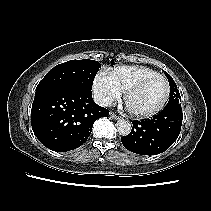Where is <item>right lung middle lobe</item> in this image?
Masks as SVG:
<instances>
[{"label":"right lung middle lobe","mask_w":211,"mask_h":211,"mask_svg":"<svg viewBox=\"0 0 211 211\" xmlns=\"http://www.w3.org/2000/svg\"><path fill=\"white\" fill-rule=\"evenodd\" d=\"M101 67L95 60H70L52 68L40 81L36 92L53 87H77L92 90L93 80Z\"/></svg>","instance_id":"right-lung-middle-lobe-1"}]
</instances>
